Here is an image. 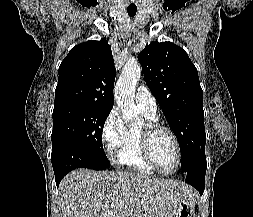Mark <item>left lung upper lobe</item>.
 Masks as SVG:
<instances>
[{"label": "left lung upper lobe", "instance_id": "5c2ea615", "mask_svg": "<svg viewBox=\"0 0 253 217\" xmlns=\"http://www.w3.org/2000/svg\"><path fill=\"white\" fill-rule=\"evenodd\" d=\"M145 81L179 142L183 173L206 159L203 91L184 49L151 42L138 55Z\"/></svg>", "mask_w": 253, "mask_h": 217}]
</instances>
